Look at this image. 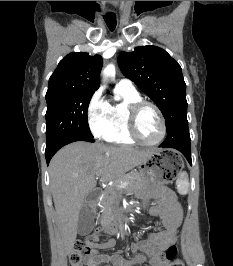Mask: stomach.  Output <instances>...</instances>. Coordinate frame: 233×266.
Listing matches in <instances>:
<instances>
[{
  "label": "stomach",
  "instance_id": "0dacf381",
  "mask_svg": "<svg viewBox=\"0 0 233 266\" xmlns=\"http://www.w3.org/2000/svg\"><path fill=\"white\" fill-rule=\"evenodd\" d=\"M168 166H184V156L181 152H176V147H157V151L139 165L144 186L156 181L158 185H173V180H177L182 167Z\"/></svg>",
  "mask_w": 233,
  "mask_h": 266
}]
</instances>
